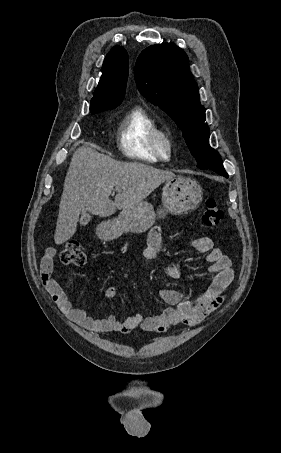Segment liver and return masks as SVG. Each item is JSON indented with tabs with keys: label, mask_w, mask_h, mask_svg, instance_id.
Returning <instances> with one entry per match:
<instances>
[{
	"label": "liver",
	"mask_w": 281,
	"mask_h": 453,
	"mask_svg": "<svg viewBox=\"0 0 281 453\" xmlns=\"http://www.w3.org/2000/svg\"><path fill=\"white\" fill-rule=\"evenodd\" d=\"M175 176L170 170L143 162H121L90 146H79L65 176L54 235L56 245L73 237L82 212L111 216L116 208H131ZM113 188L119 192L110 200Z\"/></svg>",
	"instance_id": "6515ba94"
}]
</instances>
